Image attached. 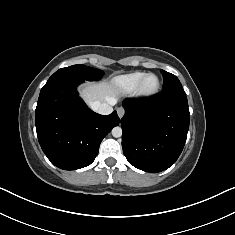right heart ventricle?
<instances>
[{
    "mask_svg": "<svg viewBox=\"0 0 235 235\" xmlns=\"http://www.w3.org/2000/svg\"><path fill=\"white\" fill-rule=\"evenodd\" d=\"M145 75L144 72H134L117 77L114 80L115 87L126 94L135 92L140 80Z\"/></svg>",
    "mask_w": 235,
    "mask_h": 235,
    "instance_id": "right-heart-ventricle-1",
    "label": "right heart ventricle"
}]
</instances>
